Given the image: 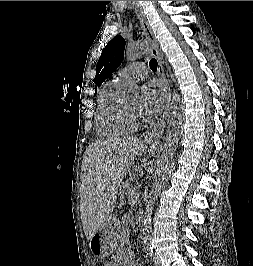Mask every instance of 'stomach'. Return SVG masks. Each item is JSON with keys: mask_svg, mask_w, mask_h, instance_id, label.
Segmentation results:
<instances>
[{"mask_svg": "<svg viewBox=\"0 0 253 266\" xmlns=\"http://www.w3.org/2000/svg\"><path fill=\"white\" fill-rule=\"evenodd\" d=\"M152 146L145 145L143 152H150ZM120 221L111 216L100 231L94 234L89 242L91 252L98 258L109 257L116 249L120 239Z\"/></svg>", "mask_w": 253, "mask_h": 266, "instance_id": "1", "label": "stomach"}]
</instances>
